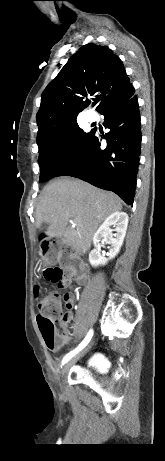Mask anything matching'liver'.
<instances>
[{
  "label": "liver",
  "mask_w": 165,
  "mask_h": 461,
  "mask_svg": "<svg viewBox=\"0 0 165 461\" xmlns=\"http://www.w3.org/2000/svg\"><path fill=\"white\" fill-rule=\"evenodd\" d=\"M121 209L115 194L80 180L60 178L43 189L36 208V227L47 223V236L62 237L74 249L86 252L101 222ZM70 220L75 227L69 225Z\"/></svg>",
  "instance_id": "liver-1"
}]
</instances>
